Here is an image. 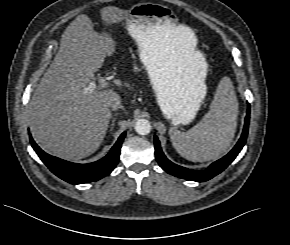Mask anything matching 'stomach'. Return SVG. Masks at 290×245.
<instances>
[{"mask_svg":"<svg viewBox=\"0 0 290 245\" xmlns=\"http://www.w3.org/2000/svg\"><path fill=\"white\" fill-rule=\"evenodd\" d=\"M125 28L137 43L140 60L164 115L173 125L189 124L207 93L204 59L195 53L189 63L178 66L169 36L176 29L171 13H158L150 7L134 8L125 18Z\"/></svg>","mask_w":290,"mask_h":245,"instance_id":"1","label":"stomach"}]
</instances>
